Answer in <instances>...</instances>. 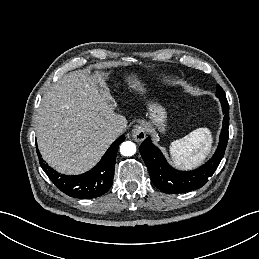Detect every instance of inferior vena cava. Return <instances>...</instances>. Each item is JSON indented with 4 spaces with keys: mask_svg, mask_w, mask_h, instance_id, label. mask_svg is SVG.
Listing matches in <instances>:
<instances>
[{
    "mask_svg": "<svg viewBox=\"0 0 259 259\" xmlns=\"http://www.w3.org/2000/svg\"><path fill=\"white\" fill-rule=\"evenodd\" d=\"M110 131L115 135H120L123 132V126L119 122L114 123L110 126Z\"/></svg>",
    "mask_w": 259,
    "mask_h": 259,
    "instance_id": "1",
    "label": "inferior vena cava"
}]
</instances>
